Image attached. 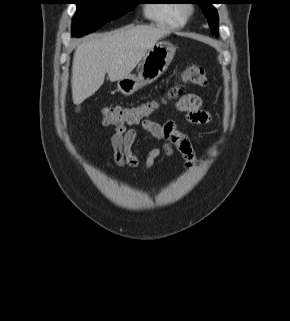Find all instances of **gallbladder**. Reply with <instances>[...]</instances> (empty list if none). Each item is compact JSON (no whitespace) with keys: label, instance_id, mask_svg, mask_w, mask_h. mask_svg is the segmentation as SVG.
I'll return each instance as SVG.
<instances>
[{"label":"gallbladder","instance_id":"gallbladder-1","mask_svg":"<svg viewBox=\"0 0 290 321\" xmlns=\"http://www.w3.org/2000/svg\"><path fill=\"white\" fill-rule=\"evenodd\" d=\"M76 110H77V111H79V110H80V108L78 107Z\"/></svg>","mask_w":290,"mask_h":321}]
</instances>
